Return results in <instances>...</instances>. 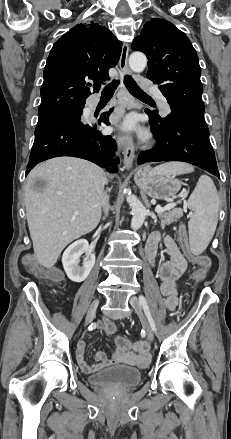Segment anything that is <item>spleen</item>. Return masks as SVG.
Returning a JSON list of instances; mask_svg holds the SVG:
<instances>
[{"instance_id":"3e777b00","label":"spleen","mask_w":231,"mask_h":439,"mask_svg":"<svg viewBox=\"0 0 231 439\" xmlns=\"http://www.w3.org/2000/svg\"><path fill=\"white\" fill-rule=\"evenodd\" d=\"M156 173L181 175L194 171L191 165L172 162L153 169ZM187 206L193 211L188 222L189 241L194 255L201 254L211 241L218 222L219 198L212 179L202 175L190 195Z\"/></svg>"}]
</instances>
